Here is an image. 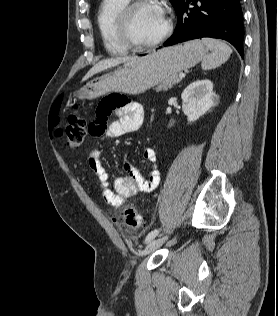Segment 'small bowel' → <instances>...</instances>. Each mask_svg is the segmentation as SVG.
I'll return each instance as SVG.
<instances>
[{"mask_svg": "<svg viewBox=\"0 0 278 316\" xmlns=\"http://www.w3.org/2000/svg\"><path fill=\"white\" fill-rule=\"evenodd\" d=\"M116 112L119 117L108 127L105 118L111 112ZM144 121V107L137 102L130 101L120 95H110L104 98L97 109V119L92 122L91 133L93 136L106 134L110 137L121 136L126 133L139 130ZM143 158L151 164V169L145 177L130 161H126L124 168L126 175L118 177L114 181V190L108 187V173L102 164V155L96 148L89 149L86 153V163L96 175L104 200L113 207H120L129 198L139 192L153 191L160 182V173L156 168V152L147 147L143 151Z\"/></svg>", "mask_w": 278, "mask_h": 316, "instance_id": "small-bowel-1", "label": "small bowel"}]
</instances>
